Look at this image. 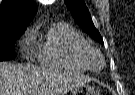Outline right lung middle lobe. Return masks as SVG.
<instances>
[{
	"label": "right lung middle lobe",
	"mask_w": 135,
	"mask_h": 95,
	"mask_svg": "<svg viewBox=\"0 0 135 95\" xmlns=\"http://www.w3.org/2000/svg\"><path fill=\"white\" fill-rule=\"evenodd\" d=\"M24 30L9 32L0 35V61L11 60L16 57L15 42Z\"/></svg>",
	"instance_id": "dd1d6c3e"
}]
</instances>
